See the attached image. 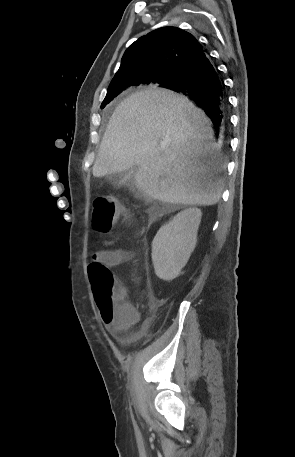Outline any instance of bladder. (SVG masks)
I'll list each match as a JSON object with an SVG mask.
<instances>
[{
	"label": "bladder",
	"mask_w": 295,
	"mask_h": 457,
	"mask_svg": "<svg viewBox=\"0 0 295 457\" xmlns=\"http://www.w3.org/2000/svg\"><path fill=\"white\" fill-rule=\"evenodd\" d=\"M119 345L121 347H128L130 345V340L128 338H121L119 340Z\"/></svg>",
	"instance_id": "obj_1"
}]
</instances>
